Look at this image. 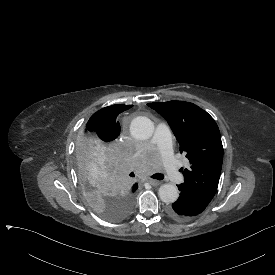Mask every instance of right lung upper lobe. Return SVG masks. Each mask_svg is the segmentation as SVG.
<instances>
[{
    "instance_id": "right-lung-upper-lobe-1",
    "label": "right lung upper lobe",
    "mask_w": 275,
    "mask_h": 275,
    "mask_svg": "<svg viewBox=\"0 0 275 275\" xmlns=\"http://www.w3.org/2000/svg\"><path fill=\"white\" fill-rule=\"evenodd\" d=\"M132 105H112L97 111L92 115L87 123V131L98 136L104 142L113 141L120 134V125L116 121L119 113L131 108ZM138 184L135 183L132 187V192H135Z\"/></svg>"
}]
</instances>
